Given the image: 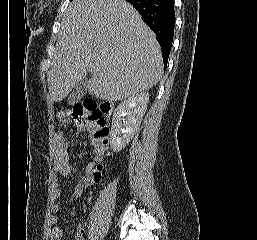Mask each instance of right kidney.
<instances>
[{"instance_id":"right-kidney-1","label":"right kidney","mask_w":257,"mask_h":240,"mask_svg":"<svg viewBox=\"0 0 257 240\" xmlns=\"http://www.w3.org/2000/svg\"><path fill=\"white\" fill-rule=\"evenodd\" d=\"M149 102V93L141 92L124 100L113 114L110 146L121 151L137 132Z\"/></svg>"}]
</instances>
